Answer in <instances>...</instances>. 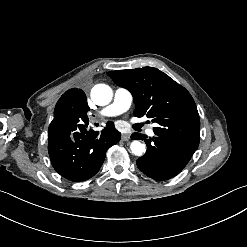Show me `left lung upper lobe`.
Here are the masks:
<instances>
[{"instance_id":"left-lung-upper-lobe-1","label":"left lung upper lobe","mask_w":247,"mask_h":247,"mask_svg":"<svg viewBox=\"0 0 247 247\" xmlns=\"http://www.w3.org/2000/svg\"><path fill=\"white\" fill-rule=\"evenodd\" d=\"M107 75L132 93L136 117L145 115L157 123L153 129L157 136L198 147L199 114L192 96L184 87L152 67L110 71Z\"/></svg>"}]
</instances>
